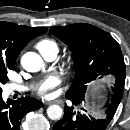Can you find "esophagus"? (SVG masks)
Masks as SVG:
<instances>
[{"instance_id":"obj_1","label":"esophagus","mask_w":130,"mask_h":130,"mask_svg":"<svg viewBox=\"0 0 130 130\" xmlns=\"http://www.w3.org/2000/svg\"><path fill=\"white\" fill-rule=\"evenodd\" d=\"M53 103H56V104H62V101L61 100H54V101H51V102H45V104L47 105H50V104H53Z\"/></svg>"}]
</instances>
